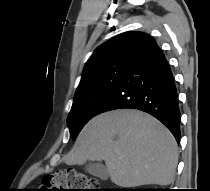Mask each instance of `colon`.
Returning <instances> with one entry per match:
<instances>
[{"label": "colon", "mask_w": 210, "mask_h": 191, "mask_svg": "<svg viewBox=\"0 0 210 191\" xmlns=\"http://www.w3.org/2000/svg\"><path fill=\"white\" fill-rule=\"evenodd\" d=\"M50 191H103L96 179L76 170H65L41 179Z\"/></svg>", "instance_id": "5ec220e1"}]
</instances>
